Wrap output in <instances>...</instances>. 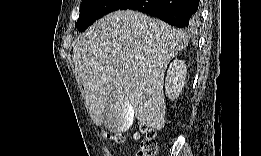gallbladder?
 Returning <instances> with one entry per match:
<instances>
[{
	"mask_svg": "<svg viewBox=\"0 0 261 156\" xmlns=\"http://www.w3.org/2000/svg\"><path fill=\"white\" fill-rule=\"evenodd\" d=\"M121 92V91H116ZM110 101L104 105V126L113 132H122L132 127L133 114L131 102L123 100L126 94L114 93L111 94Z\"/></svg>",
	"mask_w": 261,
	"mask_h": 156,
	"instance_id": "1",
	"label": "gallbladder"
}]
</instances>
